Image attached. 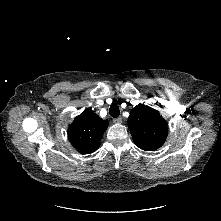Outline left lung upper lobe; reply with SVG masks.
<instances>
[{
    "label": "left lung upper lobe",
    "mask_w": 221,
    "mask_h": 221,
    "mask_svg": "<svg viewBox=\"0 0 221 221\" xmlns=\"http://www.w3.org/2000/svg\"><path fill=\"white\" fill-rule=\"evenodd\" d=\"M128 126L136 146L146 151L161 147L168 134L167 122L160 113L143 104L131 110Z\"/></svg>",
    "instance_id": "5c2ea615"
}]
</instances>
